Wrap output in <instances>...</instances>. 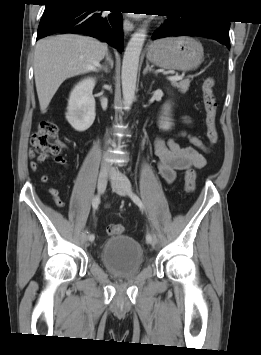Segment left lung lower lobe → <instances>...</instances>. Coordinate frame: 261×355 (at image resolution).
<instances>
[{
	"instance_id": "0a47b994",
	"label": "left lung lower lobe",
	"mask_w": 261,
	"mask_h": 355,
	"mask_svg": "<svg viewBox=\"0 0 261 355\" xmlns=\"http://www.w3.org/2000/svg\"><path fill=\"white\" fill-rule=\"evenodd\" d=\"M230 21L220 18H194L168 15V20L153 33V39L169 36H200L211 38L230 48Z\"/></svg>"
}]
</instances>
